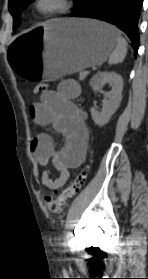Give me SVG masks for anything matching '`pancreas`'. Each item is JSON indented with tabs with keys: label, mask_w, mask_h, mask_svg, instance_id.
Listing matches in <instances>:
<instances>
[{
	"label": "pancreas",
	"mask_w": 148,
	"mask_h": 279,
	"mask_svg": "<svg viewBox=\"0 0 148 279\" xmlns=\"http://www.w3.org/2000/svg\"><path fill=\"white\" fill-rule=\"evenodd\" d=\"M85 77H86V76L83 74V72H81V73H80V76H79V79L82 81V80L85 79Z\"/></svg>",
	"instance_id": "obj_1"
}]
</instances>
